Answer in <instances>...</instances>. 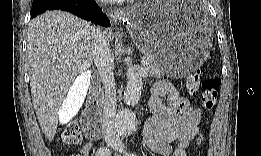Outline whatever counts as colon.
I'll list each match as a JSON object with an SVG mask.
<instances>
[{
    "label": "colon",
    "instance_id": "colon-1",
    "mask_svg": "<svg viewBox=\"0 0 261 156\" xmlns=\"http://www.w3.org/2000/svg\"><path fill=\"white\" fill-rule=\"evenodd\" d=\"M221 86V80L218 77H208L203 81L200 80V71L196 70L188 76L187 89L190 93H195L199 88L202 89V105L210 111L217 102L218 92ZM86 136L90 138H98L101 135L100 128L93 124L87 125L84 129ZM82 129L78 123H70L63 131L61 139L64 144L78 147L82 143ZM205 141L203 134L196 137V144L201 146Z\"/></svg>",
    "mask_w": 261,
    "mask_h": 156
}]
</instances>
